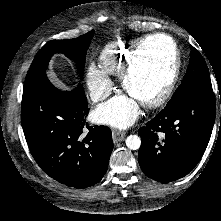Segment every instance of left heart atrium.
Listing matches in <instances>:
<instances>
[{
  "mask_svg": "<svg viewBox=\"0 0 221 221\" xmlns=\"http://www.w3.org/2000/svg\"><path fill=\"white\" fill-rule=\"evenodd\" d=\"M139 108L132 97L120 96L104 104L98 110L100 120L120 128H126L138 117Z\"/></svg>",
  "mask_w": 221,
  "mask_h": 221,
  "instance_id": "39dd6f15",
  "label": "left heart atrium"
}]
</instances>
